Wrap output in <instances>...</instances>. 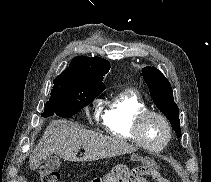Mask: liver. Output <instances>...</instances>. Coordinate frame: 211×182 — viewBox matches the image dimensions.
I'll list each match as a JSON object with an SVG mask.
<instances>
[{
  "instance_id": "6515ba94",
  "label": "liver",
  "mask_w": 211,
  "mask_h": 182,
  "mask_svg": "<svg viewBox=\"0 0 211 182\" xmlns=\"http://www.w3.org/2000/svg\"><path fill=\"white\" fill-rule=\"evenodd\" d=\"M83 148L84 156L77 158ZM136 148L127 142L84 129L77 122L54 120L36 145L30 156V169L34 170L41 161L52 154L66 161H96L99 159L132 153Z\"/></svg>"
}]
</instances>
